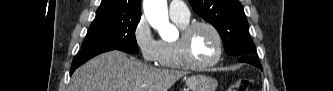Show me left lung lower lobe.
Instances as JSON below:
<instances>
[{
    "instance_id": "obj_1",
    "label": "left lung lower lobe",
    "mask_w": 333,
    "mask_h": 91,
    "mask_svg": "<svg viewBox=\"0 0 333 91\" xmlns=\"http://www.w3.org/2000/svg\"><path fill=\"white\" fill-rule=\"evenodd\" d=\"M239 61L240 62H246V63L252 64V65H254V66H256V67H258V68H260L262 70L261 64L252 55L241 56L239 58Z\"/></svg>"
}]
</instances>
